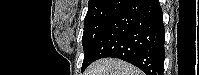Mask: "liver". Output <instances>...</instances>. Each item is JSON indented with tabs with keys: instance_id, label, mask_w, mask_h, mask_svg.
Instances as JSON below:
<instances>
[{
	"instance_id": "liver-1",
	"label": "liver",
	"mask_w": 199,
	"mask_h": 75,
	"mask_svg": "<svg viewBox=\"0 0 199 75\" xmlns=\"http://www.w3.org/2000/svg\"><path fill=\"white\" fill-rule=\"evenodd\" d=\"M84 75H143V73L122 60L105 58L93 62Z\"/></svg>"
}]
</instances>
